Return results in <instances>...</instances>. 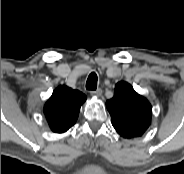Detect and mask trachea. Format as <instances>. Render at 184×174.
<instances>
[{
    "mask_svg": "<svg viewBox=\"0 0 184 174\" xmlns=\"http://www.w3.org/2000/svg\"><path fill=\"white\" fill-rule=\"evenodd\" d=\"M97 75L95 72H92L87 79L86 89L88 90H96L97 88Z\"/></svg>",
    "mask_w": 184,
    "mask_h": 174,
    "instance_id": "1",
    "label": "trachea"
}]
</instances>
